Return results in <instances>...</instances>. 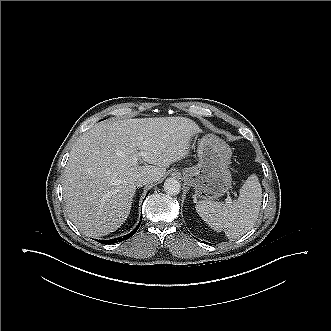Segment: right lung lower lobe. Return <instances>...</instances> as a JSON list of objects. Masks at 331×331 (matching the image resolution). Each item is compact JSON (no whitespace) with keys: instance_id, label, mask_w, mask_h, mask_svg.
<instances>
[{"instance_id":"1","label":"right lung lower lobe","mask_w":331,"mask_h":331,"mask_svg":"<svg viewBox=\"0 0 331 331\" xmlns=\"http://www.w3.org/2000/svg\"><path fill=\"white\" fill-rule=\"evenodd\" d=\"M141 220H142V218H141ZM140 223H141V221H140ZM140 223H139V225H140ZM139 225L132 232H130L129 234H127L123 237H119V238H115V239H111V240H99L98 242L103 243V244H113V243H117V242H121L123 240H126V239H128V238H130L131 236L134 235V233L138 230Z\"/></svg>"}]
</instances>
